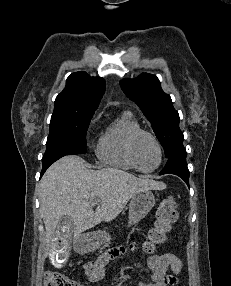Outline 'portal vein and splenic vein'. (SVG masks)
<instances>
[{
	"instance_id": "portal-vein-and-splenic-vein-1",
	"label": "portal vein and splenic vein",
	"mask_w": 231,
	"mask_h": 286,
	"mask_svg": "<svg viewBox=\"0 0 231 286\" xmlns=\"http://www.w3.org/2000/svg\"><path fill=\"white\" fill-rule=\"evenodd\" d=\"M97 203V201L95 200L93 203H92V205H94V204H96Z\"/></svg>"
}]
</instances>
